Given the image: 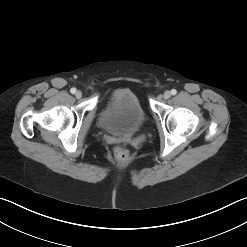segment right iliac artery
I'll return each mask as SVG.
<instances>
[{"label":"right iliac artery","mask_w":247,"mask_h":247,"mask_svg":"<svg viewBox=\"0 0 247 247\" xmlns=\"http://www.w3.org/2000/svg\"><path fill=\"white\" fill-rule=\"evenodd\" d=\"M70 92H71L72 94H74V93L76 92V89H75V88H71V89H70Z\"/></svg>","instance_id":"right-iliac-artery-1"}]
</instances>
